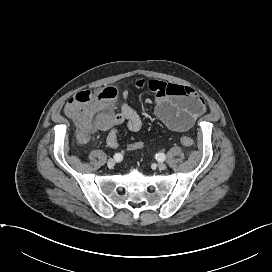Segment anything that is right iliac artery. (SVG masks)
Returning <instances> with one entry per match:
<instances>
[{"label": "right iliac artery", "mask_w": 272, "mask_h": 272, "mask_svg": "<svg viewBox=\"0 0 272 272\" xmlns=\"http://www.w3.org/2000/svg\"><path fill=\"white\" fill-rule=\"evenodd\" d=\"M114 159L115 161L120 162L123 159V156L120 153H116Z\"/></svg>", "instance_id": "1"}]
</instances>
